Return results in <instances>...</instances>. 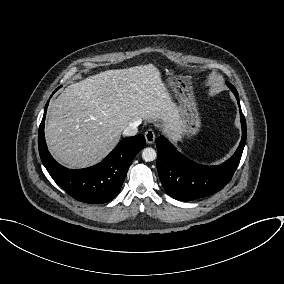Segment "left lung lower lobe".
<instances>
[{
    "label": "left lung lower lobe",
    "mask_w": 284,
    "mask_h": 284,
    "mask_svg": "<svg viewBox=\"0 0 284 284\" xmlns=\"http://www.w3.org/2000/svg\"><path fill=\"white\" fill-rule=\"evenodd\" d=\"M242 139L236 152L226 162L217 166H205L187 159L164 137L157 139V169L165 191L174 199L191 201L220 191L232 178L240 162L246 142V121L239 96Z\"/></svg>",
    "instance_id": "obj_1"
}]
</instances>
